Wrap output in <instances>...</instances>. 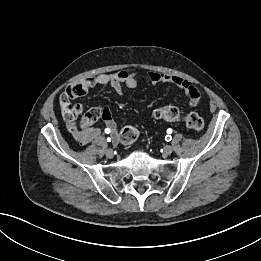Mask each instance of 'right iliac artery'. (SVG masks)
Here are the masks:
<instances>
[{
	"label": "right iliac artery",
	"instance_id": "1",
	"mask_svg": "<svg viewBox=\"0 0 261 261\" xmlns=\"http://www.w3.org/2000/svg\"><path fill=\"white\" fill-rule=\"evenodd\" d=\"M105 131H106V133H109V132H110L109 129H106ZM107 142H111V138L108 137V138H107Z\"/></svg>",
	"mask_w": 261,
	"mask_h": 261
}]
</instances>
